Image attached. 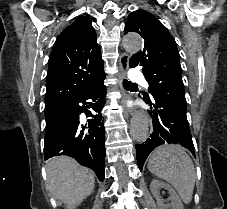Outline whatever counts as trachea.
<instances>
[{
	"instance_id": "obj_1",
	"label": "trachea",
	"mask_w": 227,
	"mask_h": 209,
	"mask_svg": "<svg viewBox=\"0 0 227 209\" xmlns=\"http://www.w3.org/2000/svg\"><path fill=\"white\" fill-rule=\"evenodd\" d=\"M123 85L125 88L137 87L136 84H133L132 82H129L128 80H125V79L123 81Z\"/></svg>"
}]
</instances>
